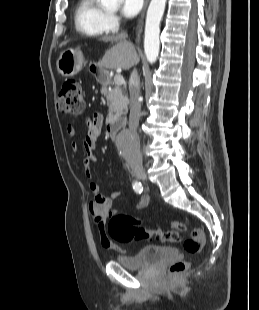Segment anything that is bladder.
Segmentation results:
<instances>
[{
  "mask_svg": "<svg viewBox=\"0 0 259 310\" xmlns=\"http://www.w3.org/2000/svg\"><path fill=\"white\" fill-rule=\"evenodd\" d=\"M176 255L177 251L173 247L147 245L135 254L120 256L116 260L124 268L136 270L153 267Z\"/></svg>",
  "mask_w": 259,
  "mask_h": 310,
  "instance_id": "31cf9c89",
  "label": "bladder"
}]
</instances>
